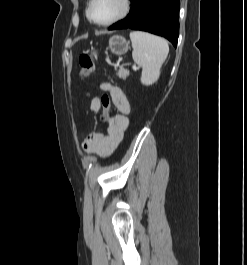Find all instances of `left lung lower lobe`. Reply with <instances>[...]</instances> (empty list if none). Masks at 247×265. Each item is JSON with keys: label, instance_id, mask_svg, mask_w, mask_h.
<instances>
[{"label": "left lung lower lobe", "instance_id": "obj_1", "mask_svg": "<svg viewBox=\"0 0 247 265\" xmlns=\"http://www.w3.org/2000/svg\"><path fill=\"white\" fill-rule=\"evenodd\" d=\"M179 0H131L130 14L109 30L134 29L167 38L176 47L179 36Z\"/></svg>", "mask_w": 247, "mask_h": 265}]
</instances>
